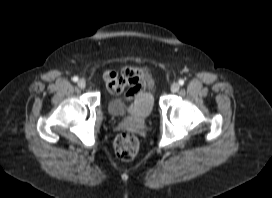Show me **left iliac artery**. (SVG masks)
<instances>
[{
  "label": "left iliac artery",
  "mask_w": 272,
  "mask_h": 198,
  "mask_svg": "<svg viewBox=\"0 0 272 198\" xmlns=\"http://www.w3.org/2000/svg\"><path fill=\"white\" fill-rule=\"evenodd\" d=\"M179 84H180V85H183V84H184V80H183V79H180V80H179Z\"/></svg>",
  "instance_id": "44dca946"
}]
</instances>
